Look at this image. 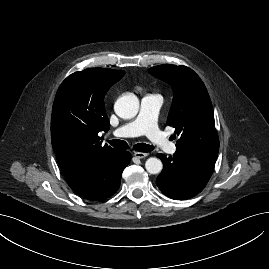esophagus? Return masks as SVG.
I'll return each instance as SVG.
<instances>
[{
    "instance_id": "34e87169",
    "label": "esophagus",
    "mask_w": 269,
    "mask_h": 269,
    "mask_svg": "<svg viewBox=\"0 0 269 269\" xmlns=\"http://www.w3.org/2000/svg\"><path fill=\"white\" fill-rule=\"evenodd\" d=\"M149 154L148 153H144V152H134V156L136 158L142 159L147 157Z\"/></svg>"
}]
</instances>
